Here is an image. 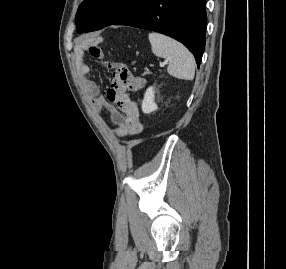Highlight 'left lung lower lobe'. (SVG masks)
I'll return each instance as SVG.
<instances>
[{
	"label": "left lung lower lobe",
	"mask_w": 286,
	"mask_h": 269,
	"mask_svg": "<svg viewBox=\"0 0 286 269\" xmlns=\"http://www.w3.org/2000/svg\"><path fill=\"white\" fill-rule=\"evenodd\" d=\"M206 0H143L111 25H128L168 35L183 43L197 66L205 47Z\"/></svg>",
	"instance_id": "0a47b994"
}]
</instances>
